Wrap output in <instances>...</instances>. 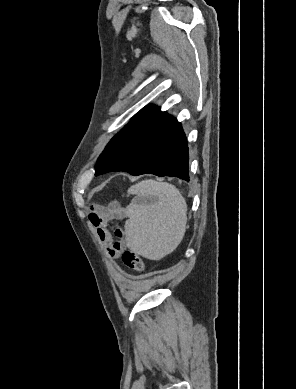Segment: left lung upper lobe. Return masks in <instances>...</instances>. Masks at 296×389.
I'll list each match as a JSON object with an SVG mask.
<instances>
[{
  "instance_id": "1",
  "label": "left lung upper lobe",
  "mask_w": 296,
  "mask_h": 389,
  "mask_svg": "<svg viewBox=\"0 0 296 389\" xmlns=\"http://www.w3.org/2000/svg\"><path fill=\"white\" fill-rule=\"evenodd\" d=\"M98 165H99V162H98V164L96 165V169H97Z\"/></svg>"
}]
</instances>
